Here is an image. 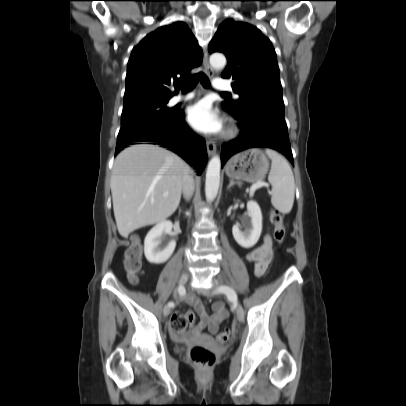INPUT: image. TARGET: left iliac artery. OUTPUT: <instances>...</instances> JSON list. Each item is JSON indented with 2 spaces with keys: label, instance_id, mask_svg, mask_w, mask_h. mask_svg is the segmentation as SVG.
Wrapping results in <instances>:
<instances>
[{
  "label": "left iliac artery",
  "instance_id": "44dca946",
  "mask_svg": "<svg viewBox=\"0 0 406 406\" xmlns=\"http://www.w3.org/2000/svg\"><path fill=\"white\" fill-rule=\"evenodd\" d=\"M215 293H223L226 294L229 300H235L237 299V295L235 293V291L229 287V286H220L217 288V290L215 291Z\"/></svg>",
  "mask_w": 406,
  "mask_h": 406
}]
</instances>
